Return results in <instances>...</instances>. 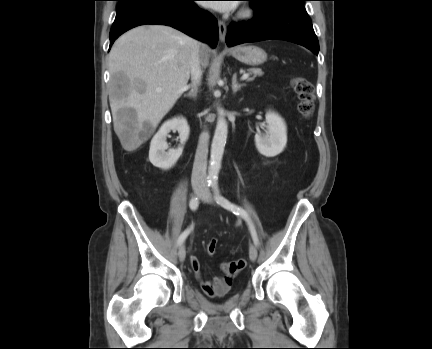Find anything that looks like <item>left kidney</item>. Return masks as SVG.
Listing matches in <instances>:
<instances>
[{
	"mask_svg": "<svg viewBox=\"0 0 432 349\" xmlns=\"http://www.w3.org/2000/svg\"><path fill=\"white\" fill-rule=\"evenodd\" d=\"M266 133L255 135V145L260 154L265 157H275L280 154L287 143V127L284 120L275 112L266 113Z\"/></svg>",
	"mask_w": 432,
	"mask_h": 349,
	"instance_id": "obj_1",
	"label": "left kidney"
}]
</instances>
